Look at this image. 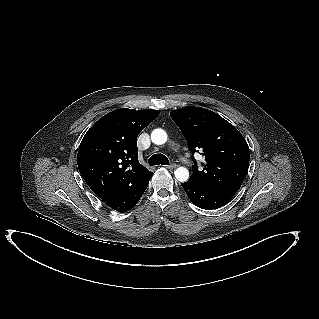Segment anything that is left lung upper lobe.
<instances>
[{"mask_svg":"<svg viewBox=\"0 0 319 319\" xmlns=\"http://www.w3.org/2000/svg\"><path fill=\"white\" fill-rule=\"evenodd\" d=\"M171 118L187 140L191 152H202L206 164L198 170L194 159L190 180L233 196L249 168V147L241 133L213 111L201 107L173 110Z\"/></svg>","mask_w":319,"mask_h":319,"instance_id":"left-lung-upper-lobe-1","label":"left lung upper lobe"}]
</instances>
